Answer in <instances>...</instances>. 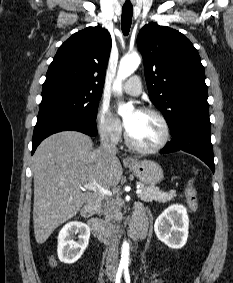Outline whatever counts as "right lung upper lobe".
Instances as JSON below:
<instances>
[{
  "label": "right lung upper lobe",
  "instance_id": "1",
  "mask_svg": "<svg viewBox=\"0 0 233 283\" xmlns=\"http://www.w3.org/2000/svg\"><path fill=\"white\" fill-rule=\"evenodd\" d=\"M111 44L109 32L100 26L76 32L59 47L44 83L102 91Z\"/></svg>",
  "mask_w": 233,
  "mask_h": 283
}]
</instances>
